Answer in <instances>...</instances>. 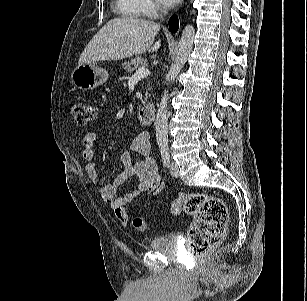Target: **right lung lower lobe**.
<instances>
[{
  "instance_id": "right-lung-lower-lobe-1",
  "label": "right lung lower lobe",
  "mask_w": 307,
  "mask_h": 301,
  "mask_svg": "<svg viewBox=\"0 0 307 301\" xmlns=\"http://www.w3.org/2000/svg\"><path fill=\"white\" fill-rule=\"evenodd\" d=\"M169 26H170V30L171 32L175 33L177 32V29L179 27V21L176 15H173L170 19H169Z\"/></svg>"
}]
</instances>
